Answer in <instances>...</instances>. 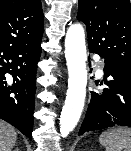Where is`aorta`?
Segmentation results:
<instances>
[{"label":"aorta","mask_w":131,"mask_h":151,"mask_svg":"<svg viewBox=\"0 0 131 151\" xmlns=\"http://www.w3.org/2000/svg\"><path fill=\"white\" fill-rule=\"evenodd\" d=\"M65 58L68 68V89L60 115V133L66 137L81 117L87 86L85 33L80 24L69 27L65 38Z\"/></svg>","instance_id":"762f6f07"}]
</instances>
